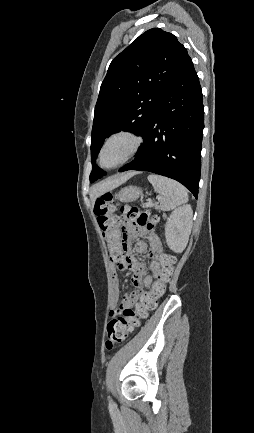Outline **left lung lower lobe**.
<instances>
[{"mask_svg":"<svg viewBox=\"0 0 254 433\" xmlns=\"http://www.w3.org/2000/svg\"><path fill=\"white\" fill-rule=\"evenodd\" d=\"M204 107L189 55L167 87L142 137L136 158L119 172L149 171L183 184L197 198Z\"/></svg>","mask_w":254,"mask_h":433,"instance_id":"1","label":"left lung lower lobe"}]
</instances>
